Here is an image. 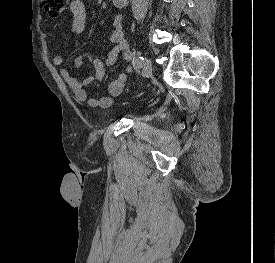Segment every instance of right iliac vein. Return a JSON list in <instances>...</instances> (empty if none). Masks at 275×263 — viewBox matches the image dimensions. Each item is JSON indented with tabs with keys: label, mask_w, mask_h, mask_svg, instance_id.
I'll return each instance as SVG.
<instances>
[{
	"label": "right iliac vein",
	"mask_w": 275,
	"mask_h": 263,
	"mask_svg": "<svg viewBox=\"0 0 275 263\" xmlns=\"http://www.w3.org/2000/svg\"><path fill=\"white\" fill-rule=\"evenodd\" d=\"M151 71H152L151 61L146 60L144 67H143V71H142L143 77H148L151 74Z\"/></svg>",
	"instance_id": "63e3f726"
}]
</instances>
